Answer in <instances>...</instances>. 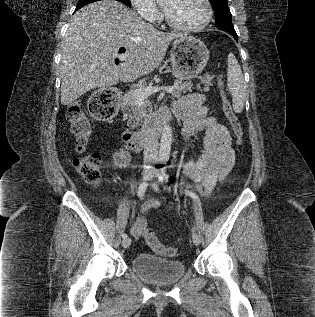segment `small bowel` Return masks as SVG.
Masks as SVG:
<instances>
[{"label": "small bowel", "instance_id": "small-bowel-1", "mask_svg": "<svg viewBox=\"0 0 315 317\" xmlns=\"http://www.w3.org/2000/svg\"><path fill=\"white\" fill-rule=\"evenodd\" d=\"M184 120L183 138L193 133L206 130L204 147L195 161L183 165L184 175L194 182V187L203 195H210L215 186L225 179L235 163V152L228 129L216 118L209 115L205 98L200 93H191L180 98L173 106ZM131 161L129 151L120 147L113 153L114 165L119 169L126 168ZM160 207V201L151 199L143 203L140 214L136 216L130 228L135 239L144 236L146 230L145 215L150 209Z\"/></svg>", "mask_w": 315, "mask_h": 317}]
</instances>
